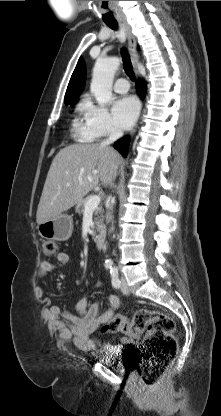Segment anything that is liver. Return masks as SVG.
<instances>
[{
  "mask_svg": "<svg viewBox=\"0 0 221 416\" xmlns=\"http://www.w3.org/2000/svg\"><path fill=\"white\" fill-rule=\"evenodd\" d=\"M121 156L101 144H72L61 149L49 168L38 204V224L67 211L99 181L104 187L117 177Z\"/></svg>",
  "mask_w": 221,
  "mask_h": 416,
  "instance_id": "obj_1",
  "label": "liver"
}]
</instances>
